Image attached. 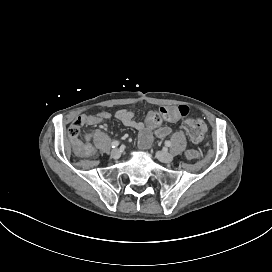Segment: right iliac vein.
Masks as SVG:
<instances>
[{"instance_id":"right-iliac-vein-1","label":"right iliac vein","mask_w":272,"mask_h":272,"mask_svg":"<svg viewBox=\"0 0 272 272\" xmlns=\"http://www.w3.org/2000/svg\"><path fill=\"white\" fill-rule=\"evenodd\" d=\"M111 157L114 159H119L121 156V151L119 149H113L110 153Z\"/></svg>"}]
</instances>
